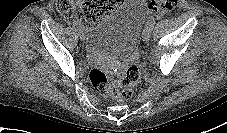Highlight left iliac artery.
Returning a JSON list of instances; mask_svg holds the SVG:
<instances>
[{"label":"left iliac artery","mask_w":227,"mask_h":133,"mask_svg":"<svg viewBox=\"0 0 227 133\" xmlns=\"http://www.w3.org/2000/svg\"><path fill=\"white\" fill-rule=\"evenodd\" d=\"M156 21L154 18L150 19L147 23V26H149L151 29L154 27Z\"/></svg>","instance_id":"44dca946"}]
</instances>
